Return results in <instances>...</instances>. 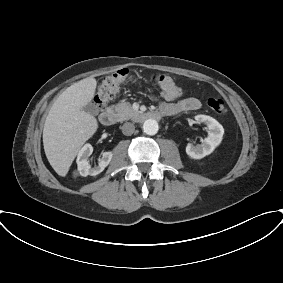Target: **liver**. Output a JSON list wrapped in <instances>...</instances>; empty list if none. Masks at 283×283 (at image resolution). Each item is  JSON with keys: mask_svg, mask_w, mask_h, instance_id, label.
Instances as JSON below:
<instances>
[{"mask_svg": "<svg viewBox=\"0 0 283 283\" xmlns=\"http://www.w3.org/2000/svg\"><path fill=\"white\" fill-rule=\"evenodd\" d=\"M97 81L87 77L68 87L54 102L45 120L46 157L59 176H66L82 145L97 131V119L83 108L94 97Z\"/></svg>", "mask_w": 283, "mask_h": 283, "instance_id": "6515ba94", "label": "liver"}]
</instances>
